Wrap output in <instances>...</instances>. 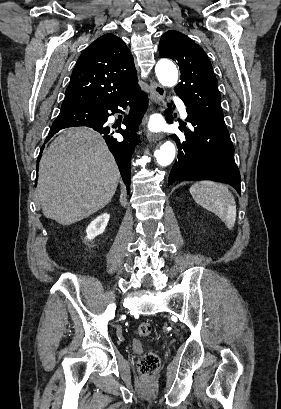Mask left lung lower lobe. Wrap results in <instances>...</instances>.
<instances>
[{
  "instance_id": "1",
  "label": "left lung lower lobe",
  "mask_w": 281,
  "mask_h": 409,
  "mask_svg": "<svg viewBox=\"0 0 281 409\" xmlns=\"http://www.w3.org/2000/svg\"><path fill=\"white\" fill-rule=\"evenodd\" d=\"M165 111L166 119L172 123V106ZM187 121L192 130L185 138L172 136L178 147V160L172 167L168 184L177 180H215L240 189V172L234 161V147L225 123L211 119L189 107Z\"/></svg>"
}]
</instances>
